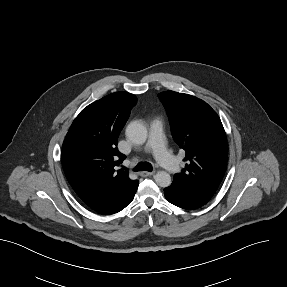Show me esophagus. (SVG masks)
<instances>
[{"instance_id": "obj_1", "label": "esophagus", "mask_w": 287, "mask_h": 287, "mask_svg": "<svg viewBox=\"0 0 287 287\" xmlns=\"http://www.w3.org/2000/svg\"><path fill=\"white\" fill-rule=\"evenodd\" d=\"M154 173H155V171H152V172L143 171V172L140 173V175H141L142 177H147V176L153 175Z\"/></svg>"}]
</instances>
